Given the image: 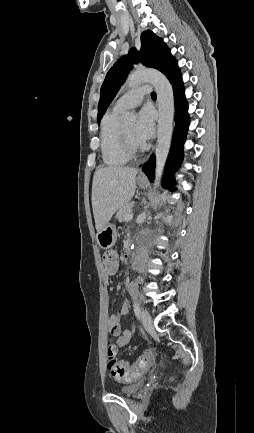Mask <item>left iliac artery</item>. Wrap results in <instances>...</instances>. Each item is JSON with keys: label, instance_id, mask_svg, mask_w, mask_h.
Wrapping results in <instances>:
<instances>
[{"label": "left iliac artery", "instance_id": "obj_1", "mask_svg": "<svg viewBox=\"0 0 254 433\" xmlns=\"http://www.w3.org/2000/svg\"><path fill=\"white\" fill-rule=\"evenodd\" d=\"M133 308H134V313H135L137 319H140L141 309H140V305L137 301H134Z\"/></svg>", "mask_w": 254, "mask_h": 433}]
</instances>
